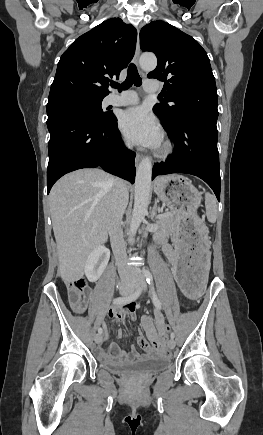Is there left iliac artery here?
<instances>
[{"label": "left iliac artery", "mask_w": 263, "mask_h": 435, "mask_svg": "<svg viewBox=\"0 0 263 435\" xmlns=\"http://www.w3.org/2000/svg\"><path fill=\"white\" fill-rule=\"evenodd\" d=\"M143 274H144V276H145V278H146L147 283L151 286L152 301H153L155 307H156L157 309H161V302H160V300L158 299L157 294H156V292H155V289H154V287H153V277H152V274L150 273L149 270H147V269H145V268L143 269ZM170 337H171V339H174L175 334L172 332V333L170 334Z\"/></svg>", "instance_id": "obj_1"}]
</instances>
